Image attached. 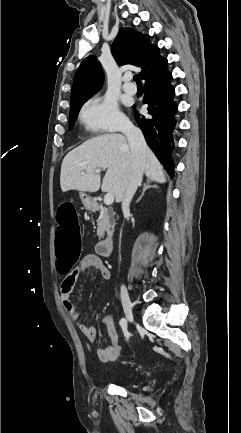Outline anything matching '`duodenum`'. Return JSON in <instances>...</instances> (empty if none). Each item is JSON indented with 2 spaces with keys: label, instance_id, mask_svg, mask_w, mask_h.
<instances>
[{
  "label": "duodenum",
  "instance_id": "410a0bca",
  "mask_svg": "<svg viewBox=\"0 0 241 433\" xmlns=\"http://www.w3.org/2000/svg\"><path fill=\"white\" fill-rule=\"evenodd\" d=\"M89 205L92 208H97V205L92 200H89ZM113 249V238L112 237H106L102 241H100L97 244V252L104 257H108L111 255Z\"/></svg>",
  "mask_w": 241,
  "mask_h": 433
}]
</instances>
